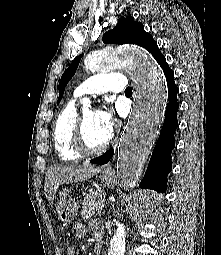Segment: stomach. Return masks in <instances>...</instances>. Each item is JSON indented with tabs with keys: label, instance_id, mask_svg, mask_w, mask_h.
<instances>
[{
	"label": "stomach",
	"instance_id": "stomach-1",
	"mask_svg": "<svg viewBox=\"0 0 221 255\" xmlns=\"http://www.w3.org/2000/svg\"><path fill=\"white\" fill-rule=\"evenodd\" d=\"M101 180L108 187H113L117 183L116 176L113 174L103 173ZM78 209L79 203L71 196L68 189L64 188L59 192L58 199L55 204V213L62 223L67 224L74 220L77 216Z\"/></svg>",
	"mask_w": 221,
	"mask_h": 255
}]
</instances>
